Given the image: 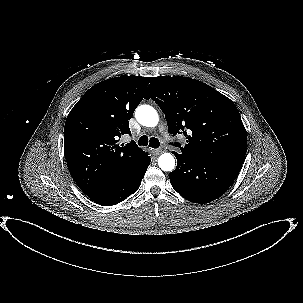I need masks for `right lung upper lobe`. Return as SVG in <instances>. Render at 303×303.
<instances>
[{
	"label": "right lung upper lobe",
	"mask_w": 303,
	"mask_h": 303,
	"mask_svg": "<svg viewBox=\"0 0 303 303\" xmlns=\"http://www.w3.org/2000/svg\"><path fill=\"white\" fill-rule=\"evenodd\" d=\"M152 77L122 75L92 86L72 108L64 128V153L78 187L92 197L126 178L147 153L132 141L128 120Z\"/></svg>",
	"instance_id": "cb5924a9"
}]
</instances>
